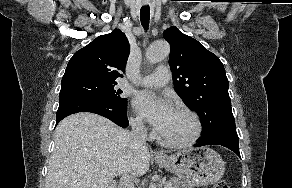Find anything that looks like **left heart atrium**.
Returning <instances> with one entry per match:
<instances>
[{"label":"left heart atrium","mask_w":292,"mask_h":188,"mask_svg":"<svg viewBox=\"0 0 292 188\" xmlns=\"http://www.w3.org/2000/svg\"><path fill=\"white\" fill-rule=\"evenodd\" d=\"M135 109L160 131L173 112L172 106L165 99H159L150 91H142L134 100Z\"/></svg>","instance_id":"obj_1"}]
</instances>
